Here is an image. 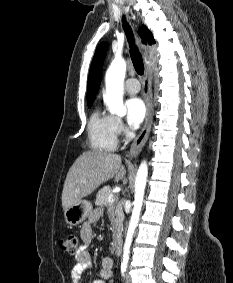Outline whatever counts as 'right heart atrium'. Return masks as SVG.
Instances as JSON below:
<instances>
[{
	"mask_svg": "<svg viewBox=\"0 0 233 283\" xmlns=\"http://www.w3.org/2000/svg\"><path fill=\"white\" fill-rule=\"evenodd\" d=\"M116 130L118 135H123L125 133L123 123L119 119H116Z\"/></svg>",
	"mask_w": 233,
	"mask_h": 283,
	"instance_id": "1",
	"label": "right heart atrium"
}]
</instances>
